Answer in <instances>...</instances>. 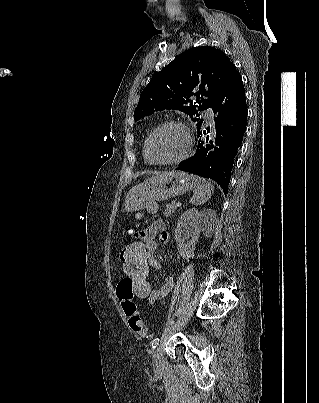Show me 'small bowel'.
<instances>
[{"label": "small bowel", "mask_w": 319, "mask_h": 403, "mask_svg": "<svg viewBox=\"0 0 319 403\" xmlns=\"http://www.w3.org/2000/svg\"><path fill=\"white\" fill-rule=\"evenodd\" d=\"M155 210V205L150 207ZM125 233H132L134 227L132 224H125L123 227ZM135 240L139 239L141 242H146L147 255L150 259V268L159 270L161 263L155 258V253L158 249V244H167L169 242V235L165 230V225L161 220H157L152 225L148 226L144 230L136 233ZM122 258H120L121 260ZM174 287V280L171 276L166 277L165 282L159 288H153L152 296H146V300L149 305H156L172 291ZM130 291L132 297L135 300V285L131 284Z\"/></svg>", "instance_id": "obj_1"}]
</instances>
